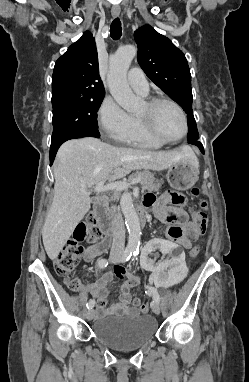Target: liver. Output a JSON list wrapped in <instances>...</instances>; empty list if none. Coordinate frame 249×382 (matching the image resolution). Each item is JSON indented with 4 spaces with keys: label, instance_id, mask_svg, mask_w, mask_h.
Wrapping results in <instances>:
<instances>
[{
    "label": "liver",
    "instance_id": "obj_1",
    "mask_svg": "<svg viewBox=\"0 0 249 382\" xmlns=\"http://www.w3.org/2000/svg\"><path fill=\"white\" fill-rule=\"evenodd\" d=\"M188 159L193 151L153 152L115 147L93 137L66 141L58 150L54 164V198L42 228L43 244L54 260L91 208L88 192L100 182L125 177L133 170L161 171Z\"/></svg>",
    "mask_w": 249,
    "mask_h": 382
}]
</instances>
